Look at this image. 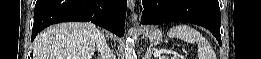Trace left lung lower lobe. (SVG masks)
<instances>
[{"label": "left lung lower lobe", "mask_w": 261, "mask_h": 59, "mask_svg": "<svg viewBox=\"0 0 261 59\" xmlns=\"http://www.w3.org/2000/svg\"><path fill=\"white\" fill-rule=\"evenodd\" d=\"M141 10V24H197L207 28L221 45L218 0H143Z\"/></svg>", "instance_id": "obj_1"}]
</instances>
